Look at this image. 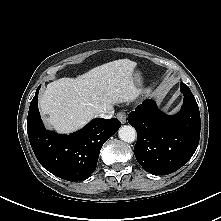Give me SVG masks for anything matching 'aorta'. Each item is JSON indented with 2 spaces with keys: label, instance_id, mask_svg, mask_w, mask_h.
Masks as SVG:
<instances>
[{
  "label": "aorta",
  "instance_id": "1",
  "mask_svg": "<svg viewBox=\"0 0 221 221\" xmlns=\"http://www.w3.org/2000/svg\"><path fill=\"white\" fill-rule=\"evenodd\" d=\"M118 136L122 141L132 143L136 139V130L130 125H124L119 129Z\"/></svg>",
  "mask_w": 221,
  "mask_h": 221
}]
</instances>
